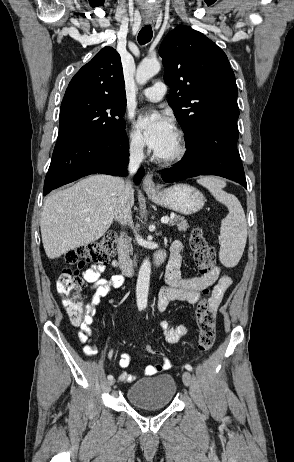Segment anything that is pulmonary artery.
Listing matches in <instances>:
<instances>
[{"mask_svg":"<svg viewBox=\"0 0 294 462\" xmlns=\"http://www.w3.org/2000/svg\"><path fill=\"white\" fill-rule=\"evenodd\" d=\"M167 86L163 82H156L151 87L143 90L144 97L152 102L160 101L166 94Z\"/></svg>","mask_w":294,"mask_h":462,"instance_id":"1","label":"pulmonary artery"}]
</instances>
